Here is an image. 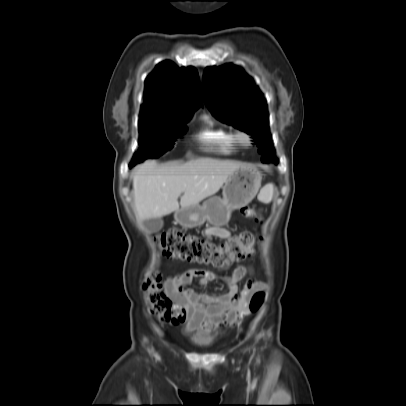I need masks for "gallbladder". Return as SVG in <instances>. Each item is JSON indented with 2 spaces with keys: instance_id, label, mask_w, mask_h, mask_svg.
I'll use <instances>...</instances> for the list:
<instances>
[{
  "instance_id": "1",
  "label": "gallbladder",
  "mask_w": 406,
  "mask_h": 406,
  "mask_svg": "<svg viewBox=\"0 0 406 406\" xmlns=\"http://www.w3.org/2000/svg\"><path fill=\"white\" fill-rule=\"evenodd\" d=\"M164 225L162 218H150L143 221V226L150 233L159 232Z\"/></svg>"
}]
</instances>
